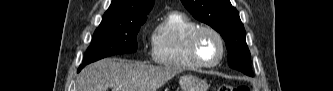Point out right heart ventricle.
Here are the masks:
<instances>
[{
	"label": "right heart ventricle",
	"mask_w": 333,
	"mask_h": 91,
	"mask_svg": "<svg viewBox=\"0 0 333 91\" xmlns=\"http://www.w3.org/2000/svg\"><path fill=\"white\" fill-rule=\"evenodd\" d=\"M198 25L180 12L167 14L158 25L152 39L155 63L176 70L199 69L189 49V36Z\"/></svg>",
	"instance_id": "1"
}]
</instances>
